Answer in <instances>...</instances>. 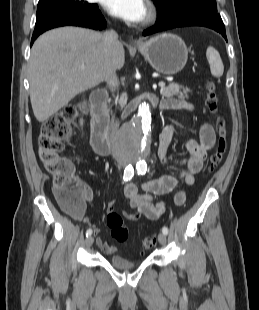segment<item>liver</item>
Instances as JSON below:
<instances>
[{
	"label": "liver",
	"instance_id": "liver-1",
	"mask_svg": "<svg viewBox=\"0 0 259 310\" xmlns=\"http://www.w3.org/2000/svg\"><path fill=\"white\" fill-rule=\"evenodd\" d=\"M124 63L122 43L108 55L99 32L61 27L44 33L32 47L28 70L36 119L46 121L76 95L107 80L109 73Z\"/></svg>",
	"mask_w": 259,
	"mask_h": 310
}]
</instances>
